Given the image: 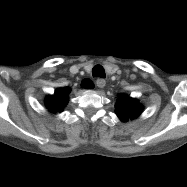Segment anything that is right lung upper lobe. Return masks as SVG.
Wrapping results in <instances>:
<instances>
[{
    "label": "right lung upper lobe",
    "instance_id": "right-lung-upper-lobe-1",
    "mask_svg": "<svg viewBox=\"0 0 187 187\" xmlns=\"http://www.w3.org/2000/svg\"><path fill=\"white\" fill-rule=\"evenodd\" d=\"M70 93V89L68 87L64 88V90L57 89L53 96L46 98V106L51 111H59L63 108L65 101L67 100V95ZM60 112V111H59Z\"/></svg>",
    "mask_w": 187,
    "mask_h": 187
}]
</instances>
